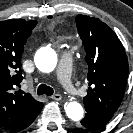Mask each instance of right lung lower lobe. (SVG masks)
<instances>
[{
  "mask_svg": "<svg viewBox=\"0 0 133 133\" xmlns=\"http://www.w3.org/2000/svg\"><path fill=\"white\" fill-rule=\"evenodd\" d=\"M43 108V103L34 111H32L29 115H27L19 124H17L15 127L9 129L10 132H18L26 127H28L38 116L40 113L41 109Z\"/></svg>",
  "mask_w": 133,
  "mask_h": 133,
  "instance_id": "right-lung-lower-lobe-1",
  "label": "right lung lower lobe"
}]
</instances>
